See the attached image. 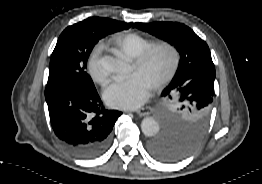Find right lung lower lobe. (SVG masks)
I'll return each mask as SVG.
<instances>
[{
	"label": "right lung lower lobe",
	"instance_id": "98d812e1",
	"mask_svg": "<svg viewBox=\"0 0 262 184\" xmlns=\"http://www.w3.org/2000/svg\"><path fill=\"white\" fill-rule=\"evenodd\" d=\"M45 98L52 128L66 149L81 158H95L106 150L121 112L106 110L96 89L47 85Z\"/></svg>",
	"mask_w": 262,
	"mask_h": 184
}]
</instances>
